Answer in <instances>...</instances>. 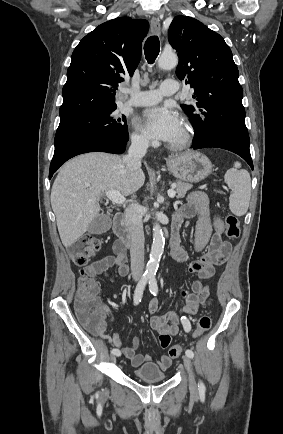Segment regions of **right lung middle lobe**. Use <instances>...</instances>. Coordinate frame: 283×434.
Returning a JSON list of instances; mask_svg holds the SVG:
<instances>
[{
  "instance_id": "dd1d6c3e",
  "label": "right lung middle lobe",
  "mask_w": 283,
  "mask_h": 434,
  "mask_svg": "<svg viewBox=\"0 0 283 434\" xmlns=\"http://www.w3.org/2000/svg\"><path fill=\"white\" fill-rule=\"evenodd\" d=\"M115 109L116 107L60 117L54 140L55 148L73 139L93 134H108L128 140L126 118L115 117Z\"/></svg>"
}]
</instances>
